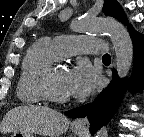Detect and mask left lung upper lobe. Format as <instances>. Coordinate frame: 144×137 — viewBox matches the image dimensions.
Returning a JSON list of instances; mask_svg holds the SVG:
<instances>
[{"label": "left lung upper lobe", "mask_w": 144, "mask_h": 137, "mask_svg": "<svg viewBox=\"0 0 144 137\" xmlns=\"http://www.w3.org/2000/svg\"><path fill=\"white\" fill-rule=\"evenodd\" d=\"M103 12L106 16L114 17L125 25L128 24L124 11L116 0H104ZM128 28L130 31L131 25H128Z\"/></svg>", "instance_id": "1"}]
</instances>
